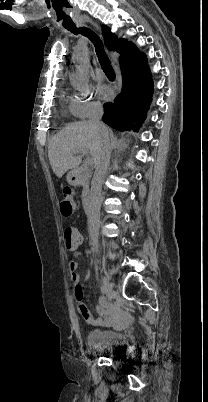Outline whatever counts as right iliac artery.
Masks as SVG:
<instances>
[{"label": "right iliac artery", "mask_w": 208, "mask_h": 402, "mask_svg": "<svg viewBox=\"0 0 208 402\" xmlns=\"http://www.w3.org/2000/svg\"><path fill=\"white\" fill-rule=\"evenodd\" d=\"M101 292H102L104 295H108L107 289H106V287H105L104 285L101 286Z\"/></svg>", "instance_id": "82829eb1"}]
</instances>
